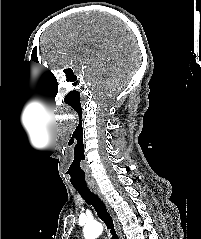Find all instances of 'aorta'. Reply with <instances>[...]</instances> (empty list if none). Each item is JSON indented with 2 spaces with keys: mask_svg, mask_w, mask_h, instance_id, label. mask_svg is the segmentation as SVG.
I'll list each match as a JSON object with an SVG mask.
<instances>
[{
  "mask_svg": "<svg viewBox=\"0 0 201 239\" xmlns=\"http://www.w3.org/2000/svg\"><path fill=\"white\" fill-rule=\"evenodd\" d=\"M102 232L103 226L98 222L86 224L83 230L85 239H96L102 234Z\"/></svg>",
  "mask_w": 201,
  "mask_h": 239,
  "instance_id": "aorta-1",
  "label": "aorta"
}]
</instances>
